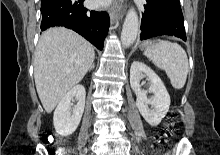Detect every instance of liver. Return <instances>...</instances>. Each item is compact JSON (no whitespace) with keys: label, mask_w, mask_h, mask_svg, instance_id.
Segmentation results:
<instances>
[{"label":"liver","mask_w":220,"mask_h":155,"mask_svg":"<svg viewBox=\"0 0 220 155\" xmlns=\"http://www.w3.org/2000/svg\"><path fill=\"white\" fill-rule=\"evenodd\" d=\"M94 58L93 46L72 30L55 27L43 32L34 56V79L47 113L83 79Z\"/></svg>","instance_id":"6515ba94"}]
</instances>
